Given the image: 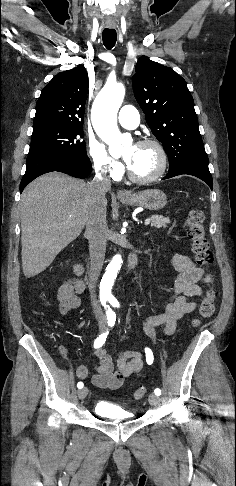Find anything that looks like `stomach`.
Returning a JSON list of instances; mask_svg holds the SVG:
<instances>
[{
	"instance_id": "stomach-1",
	"label": "stomach",
	"mask_w": 236,
	"mask_h": 486,
	"mask_svg": "<svg viewBox=\"0 0 236 486\" xmlns=\"http://www.w3.org/2000/svg\"><path fill=\"white\" fill-rule=\"evenodd\" d=\"M120 201L129 206L144 207L149 210H160L167 204L166 194L159 189H147L132 194L129 198Z\"/></svg>"
}]
</instances>
